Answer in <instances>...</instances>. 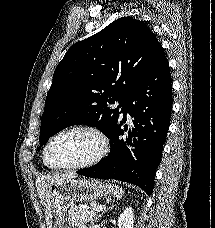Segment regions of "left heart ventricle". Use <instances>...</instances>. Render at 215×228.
<instances>
[{"instance_id":"1","label":"left heart ventricle","mask_w":215,"mask_h":228,"mask_svg":"<svg viewBox=\"0 0 215 228\" xmlns=\"http://www.w3.org/2000/svg\"><path fill=\"white\" fill-rule=\"evenodd\" d=\"M95 137L85 131H72L56 138L49 146L46 161L52 167L82 162L97 150Z\"/></svg>"}]
</instances>
